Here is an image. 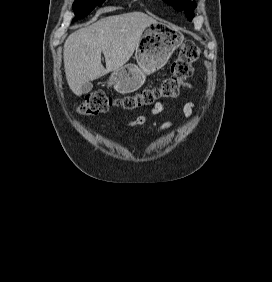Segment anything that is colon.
Instances as JSON below:
<instances>
[{"label":"colon","mask_w":272,"mask_h":282,"mask_svg":"<svg viewBox=\"0 0 272 282\" xmlns=\"http://www.w3.org/2000/svg\"><path fill=\"white\" fill-rule=\"evenodd\" d=\"M200 50L192 41L185 40L178 56L172 62L170 73L157 86L146 89L135 96H128L120 100L113 99L105 91H96L88 95L79 106V112L84 116H96L106 112L114 106H120L126 111L138 108H148L159 101L177 96L179 88L192 75V64L198 60Z\"/></svg>","instance_id":"5ec220e1"}]
</instances>
